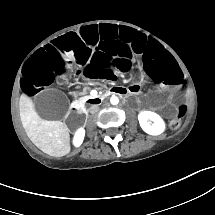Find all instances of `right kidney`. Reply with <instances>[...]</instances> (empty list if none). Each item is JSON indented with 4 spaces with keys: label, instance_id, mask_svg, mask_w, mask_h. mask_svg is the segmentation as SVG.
<instances>
[{
    "label": "right kidney",
    "instance_id": "obj_1",
    "mask_svg": "<svg viewBox=\"0 0 215 215\" xmlns=\"http://www.w3.org/2000/svg\"><path fill=\"white\" fill-rule=\"evenodd\" d=\"M84 138V130L80 129L76 132L74 137V143L75 145H80Z\"/></svg>",
    "mask_w": 215,
    "mask_h": 215
}]
</instances>
